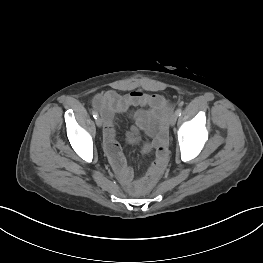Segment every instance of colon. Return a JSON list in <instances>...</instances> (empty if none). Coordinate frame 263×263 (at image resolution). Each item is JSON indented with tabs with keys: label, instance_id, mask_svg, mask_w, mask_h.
I'll return each instance as SVG.
<instances>
[{
	"label": "colon",
	"instance_id": "colon-1",
	"mask_svg": "<svg viewBox=\"0 0 263 263\" xmlns=\"http://www.w3.org/2000/svg\"><path fill=\"white\" fill-rule=\"evenodd\" d=\"M157 173H148L147 177L139 182H137L132 190L133 191H137L138 189L144 187L146 184H148L149 182L153 181L156 177H157Z\"/></svg>",
	"mask_w": 263,
	"mask_h": 263
}]
</instances>
